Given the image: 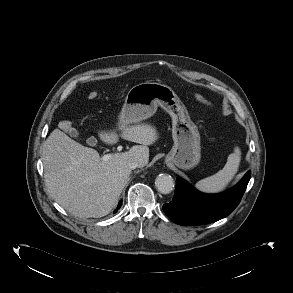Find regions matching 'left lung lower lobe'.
Here are the masks:
<instances>
[{
  "label": "left lung lower lobe",
  "instance_id": "left-lung-lower-lobe-1",
  "mask_svg": "<svg viewBox=\"0 0 293 293\" xmlns=\"http://www.w3.org/2000/svg\"><path fill=\"white\" fill-rule=\"evenodd\" d=\"M251 171L230 190L220 194H203L181 178L176 180L174 197L163 205V211L179 225H204L228 216L239 204Z\"/></svg>",
  "mask_w": 293,
  "mask_h": 293
}]
</instances>
